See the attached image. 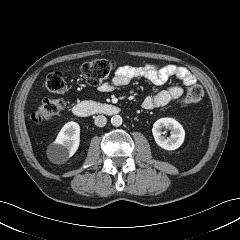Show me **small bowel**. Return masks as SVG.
Returning a JSON list of instances; mask_svg holds the SVG:
<instances>
[{"label": "small bowel", "mask_w": 240, "mask_h": 240, "mask_svg": "<svg viewBox=\"0 0 240 240\" xmlns=\"http://www.w3.org/2000/svg\"><path fill=\"white\" fill-rule=\"evenodd\" d=\"M171 77H176L185 86L195 85L197 78L188 69L182 66L169 64L158 66L155 64H144L142 66H121L119 67L113 78L101 84L99 91L111 92L114 89L126 86L134 78H143L154 85H164ZM183 94V89L179 85H170L161 90L156 95L146 97L142 102V108L152 110L163 107L171 102L178 100Z\"/></svg>", "instance_id": "c3829d8e"}]
</instances>
